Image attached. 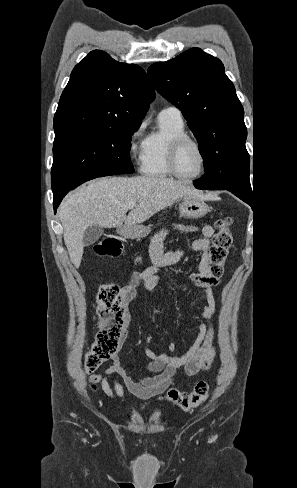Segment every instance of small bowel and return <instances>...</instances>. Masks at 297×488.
<instances>
[{
    "label": "small bowel",
    "mask_w": 297,
    "mask_h": 488,
    "mask_svg": "<svg viewBox=\"0 0 297 488\" xmlns=\"http://www.w3.org/2000/svg\"><path fill=\"white\" fill-rule=\"evenodd\" d=\"M175 229L184 232H200V237L190 243V248L201 253V260L197 272L189 277L192 287L196 290V295L202 303L200 318L204 322L196 325L197 336L193 344L180 354L176 353V344L170 342L168 350L170 354L154 352L149 344L152 336L146 341L145 352L150 358V363L146 367V376H134L125 365L118 351L111 357L112 364L88 378L89 387L96 391L99 387L104 394L112 399H124L125 393L122 384L116 379L120 377L125 388L139 399H149L162 394L174 385V375L182 368L187 376H194L207 368L213 362L211 352L215 338V314L216 303L213 296V288L218 284L212 279L208 272V260L210 251V238L213 235V228L205 225L200 229L193 226L177 225ZM169 230H162L151 240L149 256L152 265L142 272H133L127 285L120 289L123 303L128 304L140 296V289L152 291L159 283V269L177 263L184 255L183 249L165 251L164 242ZM132 324L131 315L125 312V328L128 329ZM124 338L120 340V345ZM120 347V346H119Z\"/></svg>",
    "instance_id": "c3829d8e"
}]
</instances>
